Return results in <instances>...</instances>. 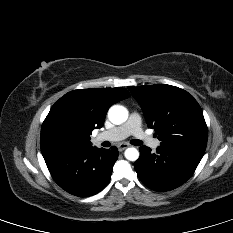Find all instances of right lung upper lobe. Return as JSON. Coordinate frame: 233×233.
Segmentation results:
<instances>
[{"instance_id": "obj_1", "label": "right lung upper lobe", "mask_w": 233, "mask_h": 233, "mask_svg": "<svg viewBox=\"0 0 233 233\" xmlns=\"http://www.w3.org/2000/svg\"><path fill=\"white\" fill-rule=\"evenodd\" d=\"M129 96L121 87L73 90L52 106L45 120L60 119L73 125L80 134L76 149L89 148L90 135L103 126L109 107Z\"/></svg>"}]
</instances>
